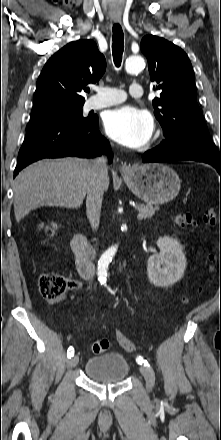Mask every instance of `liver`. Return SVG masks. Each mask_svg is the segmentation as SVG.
<instances>
[{"label": "liver", "mask_w": 221, "mask_h": 440, "mask_svg": "<svg viewBox=\"0 0 221 440\" xmlns=\"http://www.w3.org/2000/svg\"><path fill=\"white\" fill-rule=\"evenodd\" d=\"M90 166L87 159L68 157L41 160L23 169L13 186L16 221L43 206L80 207L90 183ZM108 185L109 179L105 190Z\"/></svg>", "instance_id": "6515ba94"}]
</instances>
